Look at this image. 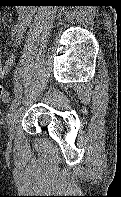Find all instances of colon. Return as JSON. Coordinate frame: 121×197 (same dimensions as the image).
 Returning a JSON list of instances; mask_svg holds the SVG:
<instances>
[{"instance_id":"1","label":"colon","mask_w":121,"mask_h":197,"mask_svg":"<svg viewBox=\"0 0 121 197\" xmlns=\"http://www.w3.org/2000/svg\"><path fill=\"white\" fill-rule=\"evenodd\" d=\"M11 97L9 95L8 92H6L4 90V88L2 87V85L0 84V100L5 102V103H9Z\"/></svg>"}]
</instances>
